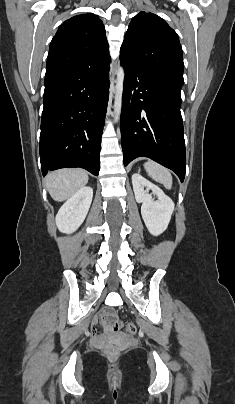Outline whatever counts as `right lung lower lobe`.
I'll use <instances>...</instances> for the list:
<instances>
[{"label": "right lung lower lobe", "instance_id": "right-lung-lower-lobe-1", "mask_svg": "<svg viewBox=\"0 0 235 404\" xmlns=\"http://www.w3.org/2000/svg\"><path fill=\"white\" fill-rule=\"evenodd\" d=\"M109 63L45 77L40 134L43 175L64 167L99 174Z\"/></svg>", "mask_w": 235, "mask_h": 404}]
</instances>
